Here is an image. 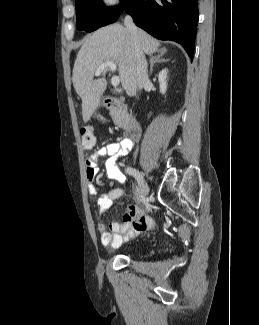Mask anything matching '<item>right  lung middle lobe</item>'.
Instances as JSON below:
<instances>
[{
	"mask_svg": "<svg viewBox=\"0 0 259 325\" xmlns=\"http://www.w3.org/2000/svg\"><path fill=\"white\" fill-rule=\"evenodd\" d=\"M120 1L118 6L107 8L102 0H76L77 29L90 32L116 22L127 0Z\"/></svg>",
	"mask_w": 259,
	"mask_h": 325,
	"instance_id": "1",
	"label": "right lung middle lobe"
}]
</instances>
